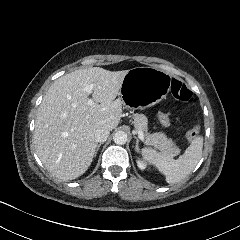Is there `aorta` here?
Wrapping results in <instances>:
<instances>
[{"instance_id":"1","label":"aorta","mask_w":240,"mask_h":240,"mask_svg":"<svg viewBox=\"0 0 240 240\" xmlns=\"http://www.w3.org/2000/svg\"><path fill=\"white\" fill-rule=\"evenodd\" d=\"M113 141L117 145H123L127 142V133L124 131H117L113 136Z\"/></svg>"}]
</instances>
